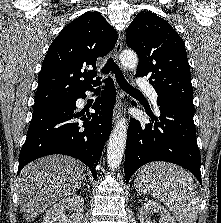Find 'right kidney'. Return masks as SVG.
<instances>
[{"label":"right kidney","mask_w":221,"mask_h":223,"mask_svg":"<svg viewBox=\"0 0 221 223\" xmlns=\"http://www.w3.org/2000/svg\"><path fill=\"white\" fill-rule=\"evenodd\" d=\"M65 209L74 211L67 216ZM84 200L80 195H71L55 203L44 215L42 223H82Z\"/></svg>","instance_id":"obj_1"}]
</instances>
